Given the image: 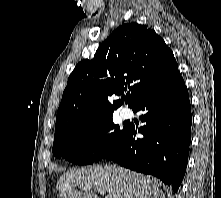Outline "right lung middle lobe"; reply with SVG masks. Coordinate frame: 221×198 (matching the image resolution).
I'll use <instances>...</instances> for the list:
<instances>
[{"mask_svg": "<svg viewBox=\"0 0 221 198\" xmlns=\"http://www.w3.org/2000/svg\"><path fill=\"white\" fill-rule=\"evenodd\" d=\"M128 125L120 130L112 121V115L105 116L78 130L54 138L52 152L57 158L88 165L102 160L122 140Z\"/></svg>", "mask_w": 221, "mask_h": 198, "instance_id": "1", "label": "right lung middle lobe"}]
</instances>
